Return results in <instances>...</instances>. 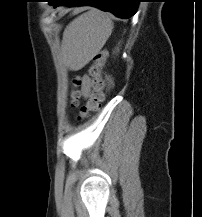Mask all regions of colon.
Listing matches in <instances>:
<instances>
[{"label": "colon", "instance_id": "colon-1", "mask_svg": "<svg viewBox=\"0 0 202 217\" xmlns=\"http://www.w3.org/2000/svg\"><path fill=\"white\" fill-rule=\"evenodd\" d=\"M107 61V52L105 50L97 52L93 58L89 68V75L91 77V93L88 102L80 108L79 119H85L91 112L99 110L104 99L105 81L102 77V70ZM71 106L78 105L81 96L82 79L78 76L71 80Z\"/></svg>", "mask_w": 202, "mask_h": 217}]
</instances>
